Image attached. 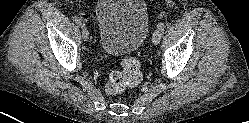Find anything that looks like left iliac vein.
I'll use <instances>...</instances> for the list:
<instances>
[{
  "mask_svg": "<svg viewBox=\"0 0 249 123\" xmlns=\"http://www.w3.org/2000/svg\"><path fill=\"white\" fill-rule=\"evenodd\" d=\"M162 38V31L160 29H156L153 33V38H152V42L157 45Z\"/></svg>",
  "mask_w": 249,
  "mask_h": 123,
  "instance_id": "4c4485c4",
  "label": "left iliac vein"
}]
</instances>
